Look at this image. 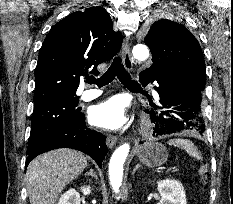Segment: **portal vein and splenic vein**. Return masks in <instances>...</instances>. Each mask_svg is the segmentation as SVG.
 I'll use <instances>...</instances> for the list:
<instances>
[{
	"mask_svg": "<svg viewBox=\"0 0 233 204\" xmlns=\"http://www.w3.org/2000/svg\"><path fill=\"white\" fill-rule=\"evenodd\" d=\"M177 170H178L177 167L172 168V171H177Z\"/></svg>",
	"mask_w": 233,
	"mask_h": 204,
	"instance_id": "portal-vein-and-splenic-vein-1",
	"label": "portal vein and splenic vein"
}]
</instances>
